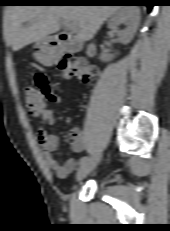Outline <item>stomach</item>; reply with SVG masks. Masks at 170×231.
Masks as SVG:
<instances>
[{
  "label": "stomach",
  "mask_w": 170,
  "mask_h": 231,
  "mask_svg": "<svg viewBox=\"0 0 170 231\" xmlns=\"http://www.w3.org/2000/svg\"><path fill=\"white\" fill-rule=\"evenodd\" d=\"M34 48L36 49L34 56L39 62L50 65L56 61L57 58L49 47L47 39L36 42Z\"/></svg>",
  "instance_id": "obj_1"
}]
</instances>
